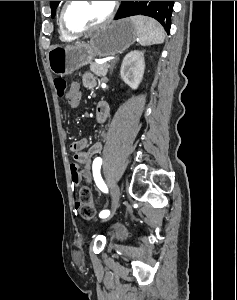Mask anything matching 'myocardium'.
Segmentation results:
<instances>
[{"instance_id":"1","label":"myocardium","mask_w":237,"mask_h":300,"mask_svg":"<svg viewBox=\"0 0 237 300\" xmlns=\"http://www.w3.org/2000/svg\"><path fill=\"white\" fill-rule=\"evenodd\" d=\"M70 2L71 1H65V3L63 4L61 12H60L59 22H60V28L64 32V34H66L67 36H71V37L80 36L84 33L99 30L101 28L106 27L113 21L115 15H116V12H117V1H110V11L104 20H102L101 22H99L95 25H92L90 27L82 29L80 31H72L67 27L66 22H65V13H66L67 7L70 4Z\"/></svg>"}]
</instances>
